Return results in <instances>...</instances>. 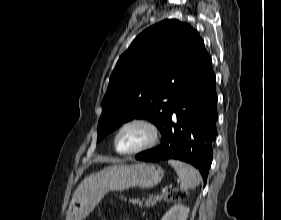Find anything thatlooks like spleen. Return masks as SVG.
<instances>
[{
	"label": "spleen",
	"instance_id": "1",
	"mask_svg": "<svg viewBox=\"0 0 281 220\" xmlns=\"http://www.w3.org/2000/svg\"><path fill=\"white\" fill-rule=\"evenodd\" d=\"M168 163L179 177L181 190L186 191L201 183V175L192 165L174 159H170Z\"/></svg>",
	"mask_w": 281,
	"mask_h": 220
}]
</instances>
